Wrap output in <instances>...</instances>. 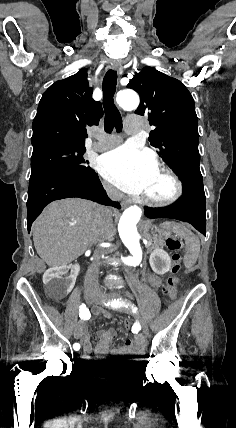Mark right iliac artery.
I'll return each instance as SVG.
<instances>
[{
  "instance_id": "right-iliac-artery-1",
  "label": "right iliac artery",
  "mask_w": 236,
  "mask_h": 428,
  "mask_svg": "<svg viewBox=\"0 0 236 428\" xmlns=\"http://www.w3.org/2000/svg\"><path fill=\"white\" fill-rule=\"evenodd\" d=\"M79 317L83 320H88L91 317L90 311L88 308H86L85 304H82L79 306ZM74 350L78 351L80 349V344L75 343L73 345Z\"/></svg>"
}]
</instances>
